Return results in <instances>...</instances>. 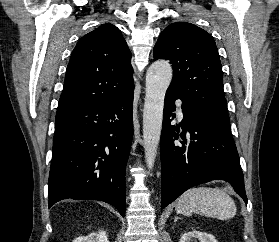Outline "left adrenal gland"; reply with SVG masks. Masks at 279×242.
<instances>
[{
	"instance_id": "a2214340",
	"label": "left adrenal gland",
	"mask_w": 279,
	"mask_h": 242,
	"mask_svg": "<svg viewBox=\"0 0 279 242\" xmlns=\"http://www.w3.org/2000/svg\"><path fill=\"white\" fill-rule=\"evenodd\" d=\"M179 219V217H175V221H177Z\"/></svg>"
}]
</instances>
